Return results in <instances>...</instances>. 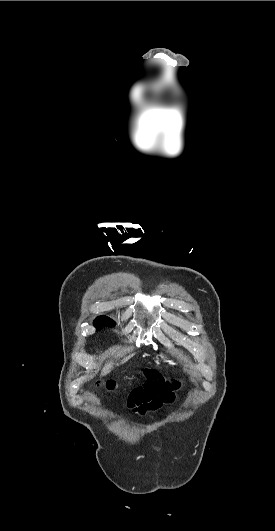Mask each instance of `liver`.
I'll use <instances>...</instances> for the list:
<instances>
[{"label":"liver","instance_id":"1","mask_svg":"<svg viewBox=\"0 0 275 531\" xmlns=\"http://www.w3.org/2000/svg\"><path fill=\"white\" fill-rule=\"evenodd\" d=\"M129 357H126V359H123L122 363H125V361H128ZM113 363H110V365H105L101 371V377H105V375H108L110 373V369H112Z\"/></svg>","mask_w":275,"mask_h":531}]
</instances>
